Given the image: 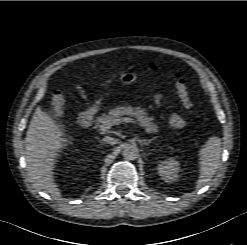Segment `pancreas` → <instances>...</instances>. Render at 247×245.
I'll return each instance as SVG.
<instances>
[{"label": "pancreas", "instance_id": "cf45deb5", "mask_svg": "<svg viewBox=\"0 0 247 245\" xmlns=\"http://www.w3.org/2000/svg\"><path fill=\"white\" fill-rule=\"evenodd\" d=\"M124 116L136 117L139 121L140 125L145 128V130L149 133H157L159 131V127L154 124L153 118L148 116V113L145 112V109L140 107H133L130 105L120 106L108 111V114H103L98 117L96 120V124L100 127L101 124L105 122H110L112 125L119 124L123 122Z\"/></svg>", "mask_w": 247, "mask_h": 245}]
</instances>
